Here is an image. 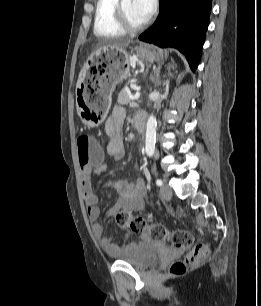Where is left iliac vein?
<instances>
[{
  "label": "left iliac vein",
  "instance_id": "1",
  "mask_svg": "<svg viewBox=\"0 0 261 306\" xmlns=\"http://www.w3.org/2000/svg\"><path fill=\"white\" fill-rule=\"evenodd\" d=\"M160 196L165 200H168L172 197V189L166 181L160 188Z\"/></svg>",
  "mask_w": 261,
  "mask_h": 306
}]
</instances>
